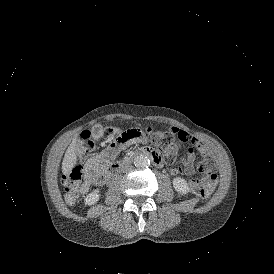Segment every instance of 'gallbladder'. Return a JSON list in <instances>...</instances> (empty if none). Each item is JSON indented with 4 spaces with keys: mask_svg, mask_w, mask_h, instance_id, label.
Instances as JSON below:
<instances>
[{
    "mask_svg": "<svg viewBox=\"0 0 274 274\" xmlns=\"http://www.w3.org/2000/svg\"><path fill=\"white\" fill-rule=\"evenodd\" d=\"M102 132H103V126L101 124H95L91 129V135L95 139L101 137Z\"/></svg>",
    "mask_w": 274,
    "mask_h": 274,
    "instance_id": "obj_1",
    "label": "gallbladder"
}]
</instances>
